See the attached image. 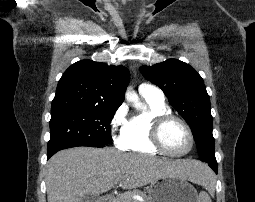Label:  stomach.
<instances>
[{"instance_id": "stomach-1", "label": "stomach", "mask_w": 255, "mask_h": 202, "mask_svg": "<svg viewBox=\"0 0 255 202\" xmlns=\"http://www.w3.org/2000/svg\"><path fill=\"white\" fill-rule=\"evenodd\" d=\"M149 202H199L195 188L184 178L163 176L147 187Z\"/></svg>"}]
</instances>
